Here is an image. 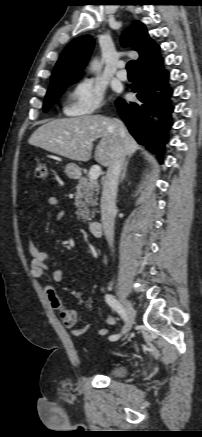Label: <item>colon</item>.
<instances>
[{
  "label": "colon",
  "mask_w": 202,
  "mask_h": 437,
  "mask_svg": "<svg viewBox=\"0 0 202 437\" xmlns=\"http://www.w3.org/2000/svg\"><path fill=\"white\" fill-rule=\"evenodd\" d=\"M34 175L36 178H45L47 176V167L43 162H39L36 164L34 168Z\"/></svg>",
  "instance_id": "colon-1"
}]
</instances>
